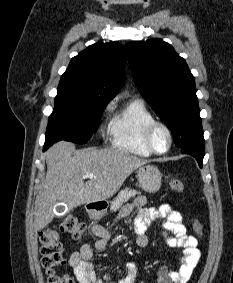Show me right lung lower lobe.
I'll use <instances>...</instances> for the list:
<instances>
[{
  "mask_svg": "<svg viewBox=\"0 0 233 283\" xmlns=\"http://www.w3.org/2000/svg\"><path fill=\"white\" fill-rule=\"evenodd\" d=\"M46 149H47V147H46V146H44L43 150L45 151Z\"/></svg>",
  "mask_w": 233,
  "mask_h": 283,
  "instance_id": "98d812e1",
  "label": "right lung lower lobe"
}]
</instances>
